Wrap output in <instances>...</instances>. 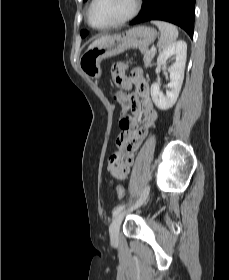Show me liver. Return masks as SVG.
Wrapping results in <instances>:
<instances>
[{"instance_id":"liver-1","label":"liver","mask_w":229,"mask_h":280,"mask_svg":"<svg viewBox=\"0 0 229 280\" xmlns=\"http://www.w3.org/2000/svg\"><path fill=\"white\" fill-rule=\"evenodd\" d=\"M110 37H112L111 35H103L101 37H99L98 39H96L94 42H92L90 44V46L88 47V50L97 46V45H100L101 43L105 42L106 40H108Z\"/></svg>"}]
</instances>
